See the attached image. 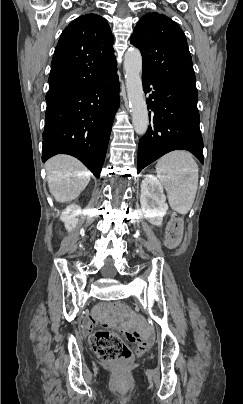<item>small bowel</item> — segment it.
<instances>
[{
  "label": "small bowel",
  "mask_w": 243,
  "mask_h": 404,
  "mask_svg": "<svg viewBox=\"0 0 243 404\" xmlns=\"http://www.w3.org/2000/svg\"><path fill=\"white\" fill-rule=\"evenodd\" d=\"M96 319H97V313H95L94 315H92L90 318H88L85 321L84 327H83V330L85 333H87V334L90 333L94 323L96 322Z\"/></svg>",
  "instance_id": "c3829d8e"
}]
</instances>
